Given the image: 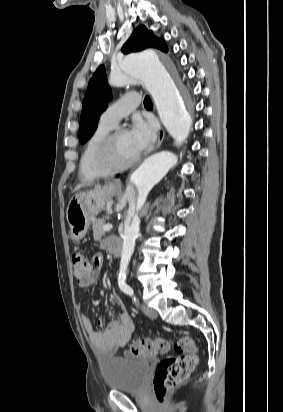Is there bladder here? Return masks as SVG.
<instances>
[{
    "label": "bladder",
    "instance_id": "1",
    "mask_svg": "<svg viewBox=\"0 0 283 412\" xmlns=\"http://www.w3.org/2000/svg\"><path fill=\"white\" fill-rule=\"evenodd\" d=\"M148 369V363L138 360L111 358L101 362V375L105 386L116 391H142Z\"/></svg>",
    "mask_w": 283,
    "mask_h": 412
}]
</instances>
